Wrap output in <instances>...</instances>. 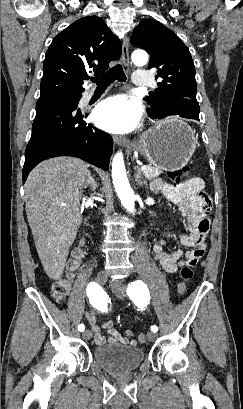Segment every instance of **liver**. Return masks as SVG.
Listing matches in <instances>:
<instances>
[{
    "label": "liver",
    "instance_id": "6515ba94",
    "mask_svg": "<svg viewBox=\"0 0 243 409\" xmlns=\"http://www.w3.org/2000/svg\"><path fill=\"white\" fill-rule=\"evenodd\" d=\"M90 171L74 157L38 164L25 183L26 214L46 274L62 277L69 249L82 222L80 200Z\"/></svg>",
    "mask_w": 243,
    "mask_h": 409
}]
</instances>
